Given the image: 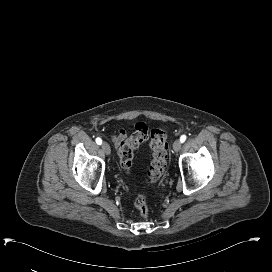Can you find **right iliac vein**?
Here are the masks:
<instances>
[{
    "label": "right iliac vein",
    "mask_w": 272,
    "mask_h": 272,
    "mask_svg": "<svg viewBox=\"0 0 272 272\" xmlns=\"http://www.w3.org/2000/svg\"><path fill=\"white\" fill-rule=\"evenodd\" d=\"M101 147H102V150H103L107 155L110 154L111 148H110V145H109L107 142H103Z\"/></svg>",
    "instance_id": "obj_1"
}]
</instances>
